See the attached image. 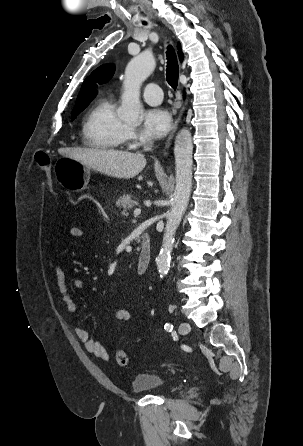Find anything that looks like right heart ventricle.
Instances as JSON below:
<instances>
[{
  "instance_id": "1",
  "label": "right heart ventricle",
  "mask_w": 303,
  "mask_h": 446,
  "mask_svg": "<svg viewBox=\"0 0 303 446\" xmlns=\"http://www.w3.org/2000/svg\"><path fill=\"white\" fill-rule=\"evenodd\" d=\"M125 123L117 115L111 96L99 99L87 112L82 123L84 145L96 149H115L125 141Z\"/></svg>"
}]
</instances>
